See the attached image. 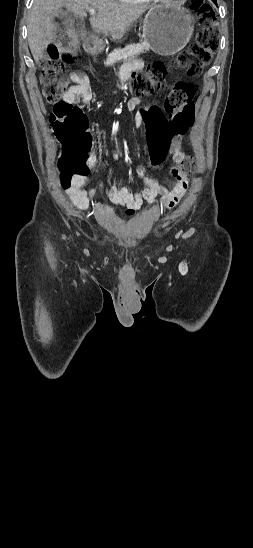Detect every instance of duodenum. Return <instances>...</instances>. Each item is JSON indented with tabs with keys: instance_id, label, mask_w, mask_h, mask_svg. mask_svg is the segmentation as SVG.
Returning a JSON list of instances; mask_svg holds the SVG:
<instances>
[{
	"instance_id": "1",
	"label": "duodenum",
	"mask_w": 253,
	"mask_h": 548,
	"mask_svg": "<svg viewBox=\"0 0 253 548\" xmlns=\"http://www.w3.org/2000/svg\"><path fill=\"white\" fill-rule=\"evenodd\" d=\"M88 47H89V49H91L92 51H95V50H96V49H95V44H94L92 41H90V42L88 43Z\"/></svg>"
}]
</instances>
